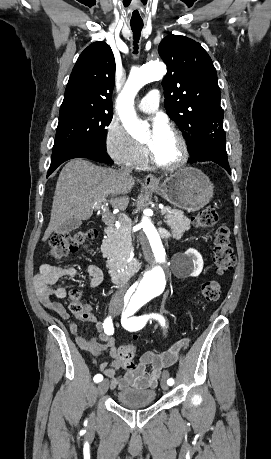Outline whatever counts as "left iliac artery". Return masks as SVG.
I'll return each mask as SVG.
<instances>
[{
  "label": "left iliac artery",
  "instance_id": "obj_1",
  "mask_svg": "<svg viewBox=\"0 0 271 459\" xmlns=\"http://www.w3.org/2000/svg\"><path fill=\"white\" fill-rule=\"evenodd\" d=\"M142 304L139 303H132L130 307H124L123 308V313H122V318H121V324L122 326L128 330V331H138L142 329L146 322L150 319H156L160 322L161 326H165V319L160 316L159 314H150V315H143L139 317H131L127 318L128 316H134L135 315V310L139 308ZM163 333L165 332L164 330L162 331ZM167 384L169 387H172L174 384V380L172 378H169L167 380Z\"/></svg>",
  "mask_w": 271,
  "mask_h": 459
}]
</instances>
